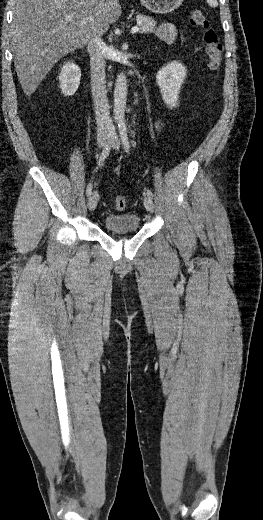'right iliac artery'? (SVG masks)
Returning <instances> with one entry per match:
<instances>
[{
    "mask_svg": "<svg viewBox=\"0 0 263 520\" xmlns=\"http://www.w3.org/2000/svg\"><path fill=\"white\" fill-rule=\"evenodd\" d=\"M110 147H111V141L109 140V141L106 143V145H105V147H104V149H103V151H102V153H101V155H100V158H99V160H98V162H97L98 166L102 165L103 162H104V160H105V158L109 155ZM91 193H92V183L90 182V183L87 185L86 195H87V196H90Z\"/></svg>",
    "mask_w": 263,
    "mask_h": 520,
    "instance_id": "82829eb1",
    "label": "right iliac artery"
}]
</instances>
